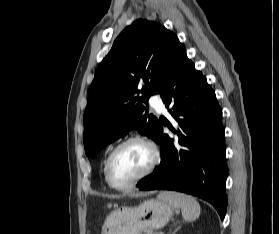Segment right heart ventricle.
I'll list each match as a JSON object with an SVG mask.
<instances>
[{"instance_id":"obj_1","label":"right heart ventricle","mask_w":279,"mask_h":234,"mask_svg":"<svg viewBox=\"0 0 279 234\" xmlns=\"http://www.w3.org/2000/svg\"><path fill=\"white\" fill-rule=\"evenodd\" d=\"M105 162H106V160L104 161V167H105Z\"/></svg>"}]
</instances>
